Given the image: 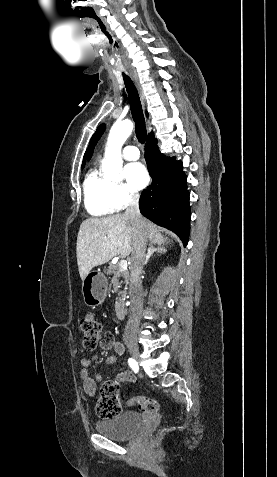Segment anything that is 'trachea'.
Listing matches in <instances>:
<instances>
[{
	"label": "trachea",
	"mask_w": 277,
	"mask_h": 477,
	"mask_svg": "<svg viewBox=\"0 0 277 477\" xmlns=\"http://www.w3.org/2000/svg\"><path fill=\"white\" fill-rule=\"evenodd\" d=\"M124 84L126 87V91L128 93V99L131 107L132 117L135 122V132L137 139L140 143H145L147 137V131L145 126V119L142 111V106L140 102V98L138 95V91L132 82L131 78L122 73Z\"/></svg>",
	"instance_id": "obj_1"
}]
</instances>
